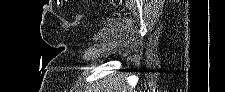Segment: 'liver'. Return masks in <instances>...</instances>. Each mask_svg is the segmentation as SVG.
<instances>
[{"label":"liver","mask_w":225,"mask_h":92,"mask_svg":"<svg viewBox=\"0 0 225 92\" xmlns=\"http://www.w3.org/2000/svg\"><path fill=\"white\" fill-rule=\"evenodd\" d=\"M125 78L122 74H112L98 83L96 92H128L129 88L125 83Z\"/></svg>","instance_id":"liver-1"}]
</instances>
